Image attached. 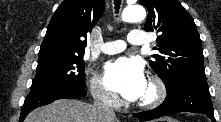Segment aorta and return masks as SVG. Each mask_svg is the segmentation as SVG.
Wrapping results in <instances>:
<instances>
[{
  "label": "aorta",
  "instance_id": "1",
  "mask_svg": "<svg viewBox=\"0 0 221 122\" xmlns=\"http://www.w3.org/2000/svg\"><path fill=\"white\" fill-rule=\"evenodd\" d=\"M146 17V11L141 5L126 7L122 13V20L125 22H138Z\"/></svg>",
  "mask_w": 221,
  "mask_h": 122
}]
</instances>
